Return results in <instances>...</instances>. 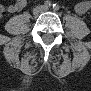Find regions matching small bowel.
Returning a JSON list of instances; mask_svg holds the SVG:
<instances>
[{
	"label": "small bowel",
	"instance_id": "obj_1",
	"mask_svg": "<svg viewBox=\"0 0 91 91\" xmlns=\"http://www.w3.org/2000/svg\"><path fill=\"white\" fill-rule=\"evenodd\" d=\"M26 6V0H17L6 8L7 12L13 13L22 10ZM90 9V2L82 1L76 6L79 14H84Z\"/></svg>",
	"mask_w": 91,
	"mask_h": 91
}]
</instances>
